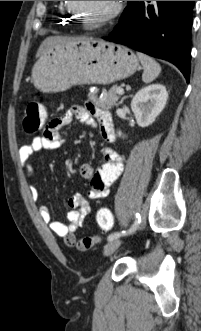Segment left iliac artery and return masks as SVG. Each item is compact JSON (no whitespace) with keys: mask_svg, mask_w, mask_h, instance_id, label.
Returning <instances> with one entry per match:
<instances>
[{"mask_svg":"<svg viewBox=\"0 0 201 331\" xmlns=\"http://www.w3.org/2000/svg\"><path fill=\"white\" fill-rule=\"evenodd\" d=\"M140 222H141L140 215L138 213H136L135 222H134L133 226L128 230V232H125V231L114 232L108 236L107 240L111 241L113 239L119 238L121 235L130 234V233L134 232L138 228Z\"/></svg>","mask_w":201,"mask_h":331,"instance_id":"1","label":"left iliac artery"}]
</instances>
